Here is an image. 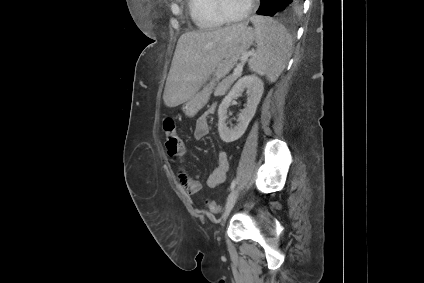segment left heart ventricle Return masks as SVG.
I'll return each mask as SVG.
<instances>
[{"instance_id": "left-heart-ventricle-1", "label": "left heart ventricle", "mask_w": 424, "mask_h": 283, "mask_svg": "<svg viewBox=\"0 0 424 283\" xmlns=\"http://www.w3.org/2000/svg\"><path fill=\"white\" fill-rule=\"evenodd\" d=\"M249 2L250 0H224V5L230 14L239 15L247 9Z\"/></svg>"}]
</instances>
